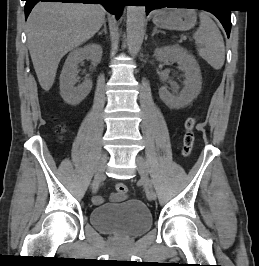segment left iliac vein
Wrapping results in <instances>:
<instances>
[{
  "instance_id": "obj_1",
  "label": "left iliac vein",
  "mask_w": 259,
  "mask_h": 266,
  "mask_svg": "<svg viewBox=\"0 0 259 266\" xmlns=\"http://www.w3.org/2000/svg\"><path fill=\"white\" fill-rule=\"evenodd\" d=\"M135 162H136L137 169H138V172H139L140 177H141V181H142L143 186H144L145 191H146V196L150 201H153L156 198H153V196L151 194V189H147L148 182H150V181H149V177H148V169H147L146 162L143 159V157L140 155L136 156Z\"/></svg>"
}]
</instances>
